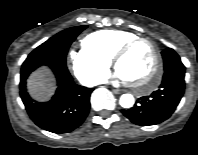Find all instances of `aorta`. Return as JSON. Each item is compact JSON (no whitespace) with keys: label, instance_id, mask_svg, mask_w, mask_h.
I'll return each instance as SVG.
<instances>
[{"label":"aorta","instance_id":"762f6f07","mask_svg":"<svg viewBox=\"0 0 198 155\" xmlns=\"http://www.w3.org/2000/svg\"><path fill=\"white\" fill-rule=\"evenodd\" d=\"M134 102V97L131 94H123L119 100V103L123 108H131L134 105Z\"/></svg>","mask_w":198,"mask_h":155}]
</instances>
